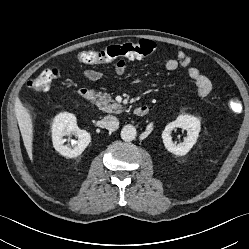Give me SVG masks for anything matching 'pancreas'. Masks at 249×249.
<instances>
[{
  "label": "pancreas",
  "instance_id": "obj_1",
  "mask_svg": "<svg viewBox=\"0 0 249 249\" xmlns=\"http://www.w3.org/2000/svg\"><path fill=\"white\" fill-rule=\"evenodd\" d=\"M98 101L96 105L99 107L100 110L105 111L107 113H121L122 112V105L116 103L110 94L107 93H99L97 95Z\"/></svg>",
  "mask_w": 249,
  "mask_h": 249
}]
</instances>
